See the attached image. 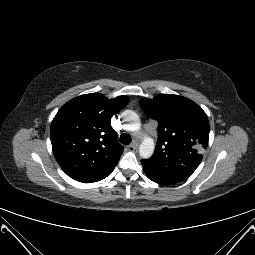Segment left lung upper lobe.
Listing matches in <instances>:
<instances>
[{"instance_id": "5c2ea615", "label": "left lung upper lobe", "mask_w": 255, "mask_h": 255, "mask_svg": "<svg viewBox=\"0 0 255 255\" xmlns=\"http://www.w3.org/2000/svg\"><path fill=\"white\" fill-rule=\"evenodd\" d=\"M140 104L159 123L155 152L151 158L141 161L146 175L161 185L187 179L201 163L208 146L206 113L193 101L171 94L143 98Z\"/></svg>"}]
</instances>
